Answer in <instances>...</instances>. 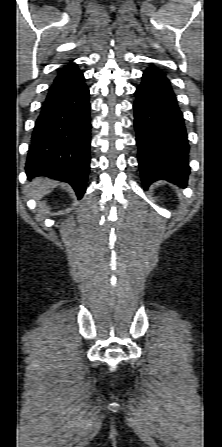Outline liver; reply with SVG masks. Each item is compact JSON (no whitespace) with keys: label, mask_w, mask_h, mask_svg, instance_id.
Masks as SVG:
<instances>
[{"label":"liver","mask_w":222,"mask_h":447,"mask_svg":"<svg viewBox=\"0 0 222 447\" xmlns=\"http://www.w3.org/2000/svg\"><path fill=\"white\" fill-rule=\"evenodd\" d=\"M56 182L45 178H36L29 186L31 188V195L35 199H41L44 195L50 193L55 187Z\"/></svg>","instance_id":"6515ba94"}]
</instances>
